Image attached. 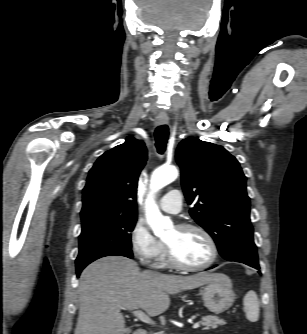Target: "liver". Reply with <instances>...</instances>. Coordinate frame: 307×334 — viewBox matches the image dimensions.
I'll use <instances>...</instances> for the list:
<instances>
[{
	"instance_id": "6515ba94",
	"label": "liver",
	"mask_w": 307,
	"mask_h": 334,
	"mask_svg": "<svg viewBox=\"0 0 307 334\" xmlns=\"http://www.w3.org/2000/svg\"><path fill=\"white\" fill-rule=\"evenodd\" d=\"M213 273L177 276L141 271L134 260L108 256L88 265L80 276L79 316L74 334H124L121 309H143L149 316L164 313L169 294L207 284Z\"/></svg>"
}]
</instances>
